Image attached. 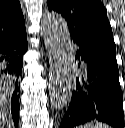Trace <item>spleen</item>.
Returning <instances> with one entry per match:
<instances>
[{
    "label": "spleen",
    "mask_w": 125,
    "mask_h": 128,
    "mask_svg": "<svg viewBox=\"0 0 125 128\" xmlns=\"http://www.w3.org/2000/svg\"><path fill=\"white\" fill-rule=\"evenodd\" d=\"M80 128H110L107 124L99 123L97 121H93L91 123H87Z\"/></svg>",
    "instance_id": "3e777b00"
}]
</instances>
